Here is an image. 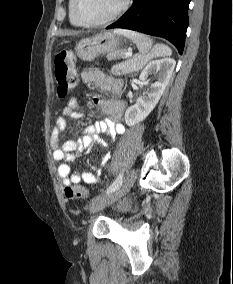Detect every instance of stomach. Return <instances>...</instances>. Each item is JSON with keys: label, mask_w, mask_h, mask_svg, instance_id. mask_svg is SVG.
I'll list each match as a JSON object with an SVG mask.
<instances>
[{"label": "stomach", "mask_w": 233, "mask_h": 284, "mask_svg": "<svg viewBox=\"0 0 233 284\" xmlns=\"http://www.w3.org/2000/svg\"><path fill=\"white\" fill-rule=\"evenodd\" d=\"M123 49V37L111 31H103L79 41L75 47L77 56L84 61H92L99 55Z\"/></svg>", "instance_id": "0dacf381"}]
</instances>
